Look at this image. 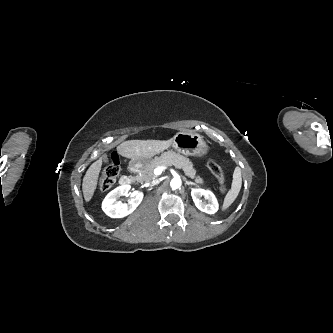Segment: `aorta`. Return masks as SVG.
Segmentation results:
<instances>
[{
    "label": "aorta",
    "mask_w": 333,
    "mask_h": 333,
    "mask_svg": "<svg viewBox=\"0 0 333 333\" xmlns=\"http://www.w3.org/2000/svg\"><path fill=\"white\" fill-rule=\"evenodd\" d=\"M181 179L180 178H173L170 182V186L173 190H177L181 188Z\"/></svg>",
    "instance_id": "obj_1"
}]
</instances>
